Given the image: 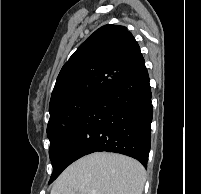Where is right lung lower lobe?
<instances>
[{"mask_svg":"<svg viewBox=\"0 0 201 194\" xmlns=\"http://www.w3.org/2000/svg\"><path fill=\"white\" fill-rule=\"evenodd\" d=\"M151 98L144 61L72 122L53 154L55 177L75 160L97 151L133 157L146 168L151 145Z\"/></svg>","mask_w":201,"mask_h":194,"instance_id":"98d812e1","label":"right lung lower lobe"}]
</instances>
